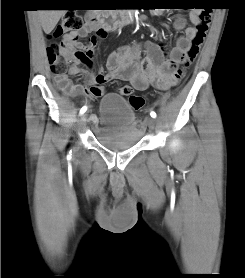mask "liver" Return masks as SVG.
Segmentation results:
<instances>
[{
    "mask_svg": "<svg viewBox=\"0 0 245 278\" xmlns=\"http://www.w3.org/2000/svg\"><path fill=\"white\" fill-rule=\"evenodd\" d=\"M66 10H39L41 26L46 34L52 32Z\"/></svg>",
    "mask_w": 245,
    "mask_h": 278,
    "instance_id": "obj_1",
    "label": "liver"
}]
</instances>
